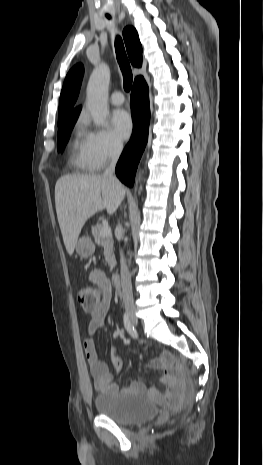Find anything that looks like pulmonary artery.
Segmentation results:
<instances>
[{
	"mask_svg": "<svg viewBox=\"0 0 263 465\" xmlns=\"http://www.w3.org/2000/svg\"><path fill=\"white\" fill-rule=\"evenodd\" d=\"M110 102L116 106L123 104L124 103L123 94L119 91L113 92L110 97Z\"/></svg>",
	"mask_w": 263,
	"mask_h": 465,
	"instance_id": "1",
	"label": "pulmonary artery"
}]
</instances>
